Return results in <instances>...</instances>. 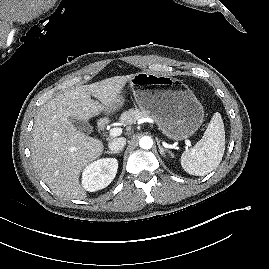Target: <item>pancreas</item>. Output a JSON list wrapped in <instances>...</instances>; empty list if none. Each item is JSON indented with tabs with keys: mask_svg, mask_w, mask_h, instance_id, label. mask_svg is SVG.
<instances>
[{
	"mask_svg": "<svg viewBox=\"0 0 269 269\" xmlns=\"http://www.w3.org/2000/svg\"><path fill=\"white\" fill-rule=\"evenodd\" d=\"M147 113L145 111H141L137 108L130 109L122 113L120 120L124 124H132L135 123L138 119L147 117Z\"/></svg>",
	"mask_w": 269,
	"mask_h": 269,
	"instance_id": "1",
	"label": "pancreas"
}]
</instances>
